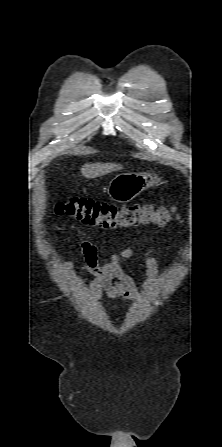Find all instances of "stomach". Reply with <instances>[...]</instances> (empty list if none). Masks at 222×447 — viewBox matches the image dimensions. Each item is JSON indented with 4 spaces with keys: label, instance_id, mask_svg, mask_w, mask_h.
<instances>
[{
    "label": "stomach",
    "instance_id": "obj_1",
    "mask_svg": "<svg viewBox=\"0 0 222 447\" xmlns=\"http://www.w3.org/2000/svg\"><path fill=\"white\" fill-rule=\"evenodd\" d=\"M161 178L154 171L143 173H121L116 175L107 187L109 197L119 203L133 200L141 192L159 182Z\"/></svg>",
    "mask_w": 222,
    "mask_h": 447
}]
</instances>
